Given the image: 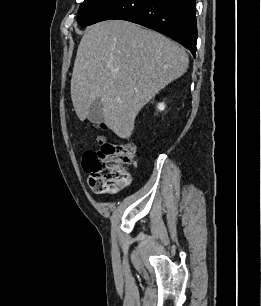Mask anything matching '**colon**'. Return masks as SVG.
<instances>
[{
	"mask_svg": "<svg viewBox=\"0 0 261 306\" xmlns=\"http://www.w3.org/2000/svg\"><path fill=\"white\" fill-rule=\"evenodd\" d=\"M100 149L83 155V167L89 174V185L94 192L103 193L130 182L127 167L132 163L135 148L130 143L114 144L98 138Z\"/></svg>",
	"mask_w": 261,
	"mask_h": 306,
	"instance_id": "5ec220e1",
	"label": "colon"
}]
</instances>
